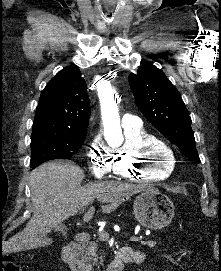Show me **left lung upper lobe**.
Listing matches in <instances>:
<instances>
[{
	"mask_svg": "<svg viewBox=\"0 0 221 271\" xmlns=\"http://www.w3.org/2000/svg\"><path fill=\"white\" fill-rule=\"evenodd\" d=\"M136 104L160 133L190 160L200 162L191 129V118L179 91L161 69L146 63L129 75Z\"/></svg>",
	"mask_w": 221,
	"mask_h": 271,
	"instance_id": "left-lung-upper-lobe-1",
	"label": "left lung upper lobe"
}]
</instances>
